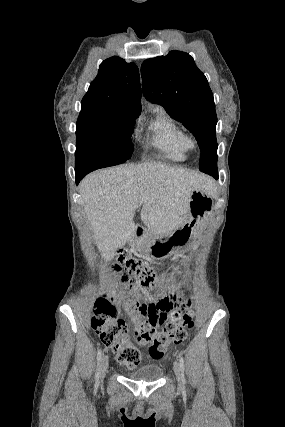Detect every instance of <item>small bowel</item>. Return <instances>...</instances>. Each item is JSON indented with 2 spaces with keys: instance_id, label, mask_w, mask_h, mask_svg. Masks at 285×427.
<instances>
[{
  "instance_id": "1",
  "label": "small bowel",
  "mask_w": 285,
  "mask_h": 427,
  "mask_svg": "<svg viewBox=\"0 0 285 427\" xmlns=\"http://www.w3.org/2000/svg\"><path fill=\"white\" fill-rule=\"evenodd\" d=\"M179 298L174 295H163L153 304H148L146 308L140 309L142 321L153 326H161L164 324L168 314L172 310L173 303Z\"/></svg>"
}]
</instances>
